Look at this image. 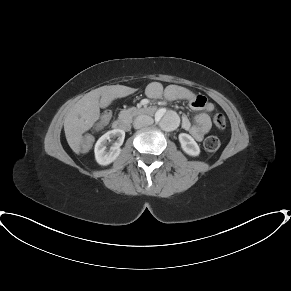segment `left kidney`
Returning <instances> with one entry per match:
<instances>
[{
	"mask_svg": "<svg viewBox=\"0 0 291 291\" xmlns=\"http://www.w3.org/2000/svg\"><path fill=\"white\" fill-rule=\"evenodd\" d=\"M178 138L181 144V148L186 154L194 157L200 154V148L198 144L189 134L180 133Z\"/></svg>",
	"mask_w": 291,
	"mask_h": 291,
	"instance_id": "5707ae66",
	"label": "left kidney"
}]
</instances>
